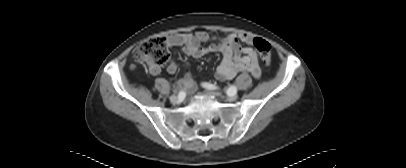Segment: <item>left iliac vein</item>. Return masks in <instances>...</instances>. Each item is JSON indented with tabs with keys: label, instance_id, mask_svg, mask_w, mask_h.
Masks as SVG:
<instances>
[{
	"label": "left iliac vein",
	"instance_id": "4c4485c4",
	"mask_svg": "<svg viewBox=\"0 0 406 168\" xmlns=\"http://www.w3.org/2000/svg\"><path fill=\"white\" fill-rule=\"evenodd\" d=\"M212 94H216L215 92L211 91ZM237 94H231V95H227V100L228 101H235L237 99Z\"/></svg>",
	"mask_w": 406,
	"mask_h": 168
}]
</instances>
